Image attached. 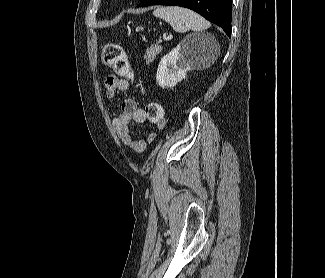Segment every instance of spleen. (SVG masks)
<instances>
[{"label": "spleen", "mask_w": 325, "mask_h": 278, "mask_svg": "<svg viewBox=\"0 0 325 278\" xmlns=\"http://www.w3.org/2000/svg\"><path fill=\"white\" fill-rule=\"evenodd\" d=\"M153 15L169 23L171 27L180 33L189 30L200 31L210 27V23L203 17L186 8L177 6L157 7Z\"/></svg>", "instance_id": "obj_1"}]
</instances>
